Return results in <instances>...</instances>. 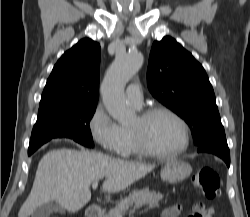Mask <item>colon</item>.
I'll return each instance as SVG.
<instances>
[{
    "label": "colon",
    "instance_id": "1",
    "mask_svg": "<svg viewBox=\"0 0 250 217\" xmlns=\"http://www.w3.org/2000/svg\"><path fill=\"white\" fill-rule=\"evenodd\" d=\"M193 186L206 198L216 199L220 194V179L216 171L209 166L201 167L193 175ZM193 212L189 217H204L209 209L202 202L193 205Z\"/></svg>",
    "mask_w": 250,
    "mask_h": 217
}]
</instances>
